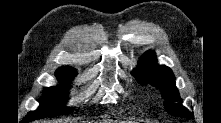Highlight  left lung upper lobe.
<instances>
[{
  "label": "left lung upper lobe",
  "instance_id": "5c2ea615",
  "mask_svg": "<svg viewBox=\"0 0 221 123\" xmlns=\"http://www.w3.org/2000/svg\"><path fill=\"white\" fill-rule=\"evenodd\" d=\"M131 73L139 83H149L161 90L162 97L165 99L164 107L168 113L173 116L192 117L189 110L182 105V100L178 101L180 97L172 70L164 65H157L154 52H146Z\"/></svg>",
  "mask_w": 221,
  "mask_h": 123
}]
</instances>
